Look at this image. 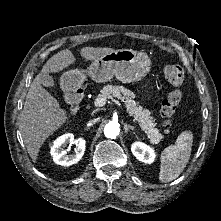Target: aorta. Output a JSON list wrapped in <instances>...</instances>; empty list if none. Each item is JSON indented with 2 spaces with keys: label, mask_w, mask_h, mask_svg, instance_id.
Returning <instances> with one entry per match:
<instances>
[{
  "label": "aorta",
  "mask_w": 221,
  "mask_h": 221,
  "mask_svg": "<svg viewBox=\"0 0 221 221\" xmlns=\"http://www.w3.org/2000/svg\"><path fill=\"white\" fill-rule=\"evenodd\" d=\"M120 129L119 125L114 122H109L104 127V135L107 138L114 139L119 135Z\"/></svg>",
  "instance_id": "1"
}]
</instances>
